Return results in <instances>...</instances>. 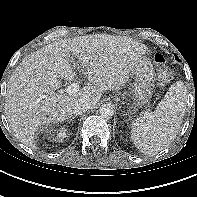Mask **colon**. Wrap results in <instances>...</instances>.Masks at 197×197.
Returning a JSON list of instances; mask_svg holds the SVG:
<instances>
[{
    "label": "colon",
    "mask_w": 197,
    "mask_h": 197,
    "mask_svg": "<svg viewBox=\"0 0 197 197\" xmlns=\"http://www.w3.org/2000/svg\"><path fill=\"white\" fill-rule=\"evenodd\" d=\"M154 62L157 67L158 79L161 83L166 84L172 79V72L167 66L165 57L157 53L154 55Z\"/></svg>",
    "instance_id": "1"
}]
</instances>
